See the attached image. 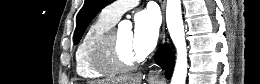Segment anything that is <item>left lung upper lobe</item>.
<instances>
[{"mask_svg":"<svg viewBox=\"0 0 260 84\" xmlns=\"http://www.w3.org/2000/svg\"><path fill=\"white\" fill-rule=\"evenodd\" d=\"M113 1L114 0H85L76 18V29L74 33L75 44L80 41L87 26L98 12Z\"/></svg>","mask_w":260,"mask_h":84,"instance_id":"obj_1","label":"left lung upper lobe"}]
</instances>
